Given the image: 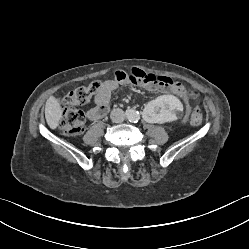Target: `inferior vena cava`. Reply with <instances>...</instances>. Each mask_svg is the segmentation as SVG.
<instances>
[{
  "mask_svg": "<svg viewBox=\"0 0 249 249\" xmlns=\"http://www.w3.org/2000/svg\"><path fill=\"white\" fill-rule=\"evenodd\" d=\"M110 118L114 123H121L125 119V113L122 109L116 108L112 110Z\"/></svg>",
  "mask_w": 249,
  "mask_h": 249,
  "instance_id": "inferior-vena-cava-1",
  "label": "inferior vena cava"
}]
</instances>
